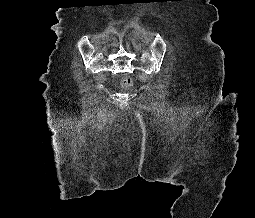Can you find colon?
<instances>
[{"instance_id": "colon-1", "label": "colon", "mask_w": 255, "mask_h": 218, "mask_svg": "<svg viewBox=\"0 0 255 218\" xmlns=\"http://www.w3.org/2000/svg\"><path fill=\"white\" fill-rule=\"evenodd\" d=\"M132 84H133V80L130 76L126 75L123 77L122 79L123 88L128 89L132 86Z\"/></svg>"}]
</instances>
